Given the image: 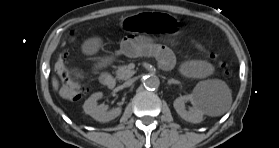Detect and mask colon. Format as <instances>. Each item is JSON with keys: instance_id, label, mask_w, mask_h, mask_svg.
<instances>
[{"instance_id": "obj_1", "label": "colon", "mask_w": 279, "mask_h": 148, "mask_svg": "<svg viewBox=\"0 0 279 148\" xmlns=\"http://www.w3.org/2000/svg\"><path fill=\"white\" fill-rule=\"evenodd\" d=\"M198 46L203 49L201 45ZM210 56L216 58L214 54H210ZM221 65L225 67L223 63ZM55 70L60 78V95L70 102H78L87 93L88 88L78 81L75 72L69 70L66 50L60 52L55 63Z\"/></svg>"}]
</instances>
